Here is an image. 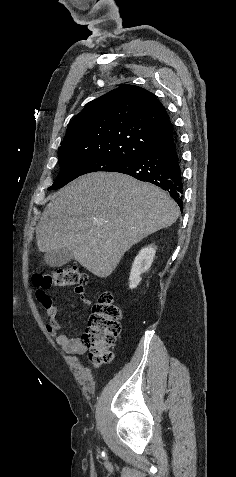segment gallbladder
Wrapping results in <instances>:
<instances>
[{
    "instance_id": "obj_1",
    "label": "gallbladder",
    "mask_w": 236,
    "mask_h": 477,
    "mask_svg": "<svg viewBox=\"0 0 236 477\" xmlns=\"http://www.w3.org/2000/svg\"><path fill=\"white\" fill-rule=\"evenodd\" d=\"M71 258L72 254L66 248L47 252L44 256L45 262L51 267L63 266L67 264L71 260Z\"/></svg>"
}]
</instances>
